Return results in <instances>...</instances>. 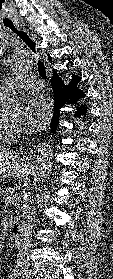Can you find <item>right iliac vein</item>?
I'll list each match as a JSON object with an SVG mask.
<instances>
[{"instance_id":"63e3f726","label":"right iliac vein","mask_w":113,"mask_h":279,"mask_svg":"<svg viewBox=\"0 0 113 279\" xmlns=\"http://www.w3.org/2000/svg\"><path fill=\"white\" fill-rule=\"evenodd\" d=\"M21 270L24 271V272H28L29 271L27 267H22Z\"/></svg>"}]
</instances>
